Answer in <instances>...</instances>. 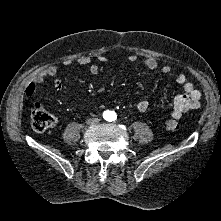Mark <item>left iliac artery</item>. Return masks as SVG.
Returning a JSON list of instances; mask_svg holds the SVG:
<instances>
[{"label": "left iliac artery", "mask_w": 221, "mask_h": 221, "mask_svg": "<svg viewBox=\"0 0 221 221\" xmlns=\"http://www.w3.org/2000/svg\"><path fill=\"white\" fill-rule=\"evenodd\" d=\"M112 120H116V114L113 112Z\"/></svg>", "instance_id": "44dca946"}]
</instances>
